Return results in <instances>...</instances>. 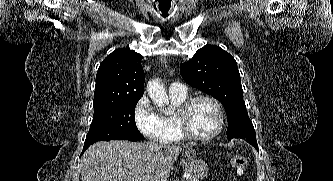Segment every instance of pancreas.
<instances>
[{
  "mask_svg": "<svg viewBox=\"0 0 333 181\" xmlns=\"http://www.w3.org/2000/svg\"><path fill=\"white\" fill-rule=\"evenodd\" d=\"M183 181H199V180L197 178L192 177V178H189V179H186V180H183Z\"/></svg>",
  "mask_w": 333,
  "mask_h": 181,
  "instance_id": "cf45deb5",
  "label": "pancreas"
}]
</instances>
